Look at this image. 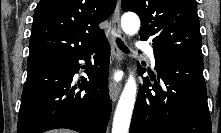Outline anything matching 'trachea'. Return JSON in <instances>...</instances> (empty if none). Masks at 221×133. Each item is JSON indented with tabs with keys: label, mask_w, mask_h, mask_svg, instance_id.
Masks as SVG:
<instances>
[{
	"label": "trachea",
	"mask_w": 221,
	"mask_h": 133,
	"mask_svg": "<svg viewBox=\"0 0 221 133\" xmlns=\"http://www.w3.org/2000/svg\"><path fill=\"white\" fill-rule=\"evenodd\" d=\"M117 45L118 47L123 51V52H129V49L127 48V46L122 42V40L120 38L116 39Z\"/></svg>",
	"instance_id": "obj_1"
}]
</instances>
